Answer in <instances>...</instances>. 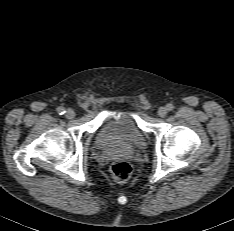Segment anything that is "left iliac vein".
<instances>
[{
    "label": "left iliac vein",
    "instance_id": "4c4485c4",
    "mask_svg": "<svg viewBox=\"0 0 234 231\" xmlns=\"http://www.w3.org/2000/svg\"><path fill=\"white\" fill-rule=\"evenodd\" d=\"M158 115H159L161 118H164V117L167 115V109H166L165 107L159 108V110H158Z\"/></svg>",
    "mask_w": 234,
    "mask_h": 231
}]
</instances>
